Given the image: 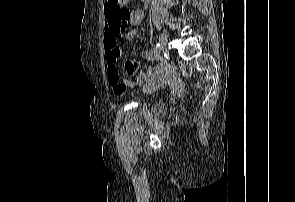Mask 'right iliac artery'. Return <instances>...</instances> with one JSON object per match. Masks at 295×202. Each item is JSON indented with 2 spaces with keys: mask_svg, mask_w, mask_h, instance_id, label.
I'll return each instance as SVG.
<instances>
[{
  "mask_svg": "<svg viewBox=\"0 0 295 202\" xmlns=\"http://www.w3.org/2000/svg\"><path fill=\"white\" fill-rule=\"evenodd\" d=\"M154 47H155V50H160L161 49V46H160L159 43H156Z\"/></svg>",
  "mask_w": 295,
  "mask_h": 202,
  "instance_id": "obj_1",
  "label": "right iliac artery"
}]
</instances>
